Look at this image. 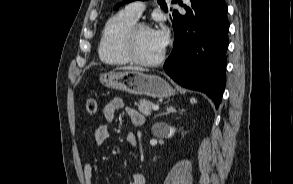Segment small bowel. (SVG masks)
<instances>
[{"label":"small bowel","mask_w":293,"mask_h":184,"mask_svg":"<svg viewBox=\"0 0 293 184\" xmlns=\"http://www.w3.org/2000/svg\"><path fill=\"white\" fill-rule=\"evenodd\" d=\"M120 111H123L135 126H139L144 122V117L139 111L127 106L121 98H114L104 107L103 115L106 122L98 125L95 130V141L98 145H103L108 140L109 130L107 123L112 122ZM126 140L133 147L137 145V139L133 133H129ZM83 175L85 184H92L93 166L91 163L86 162L84 164ZM128 184H145V177L140 173H135Z\"/></svg>","instance_id":"1"}]
</instances>
